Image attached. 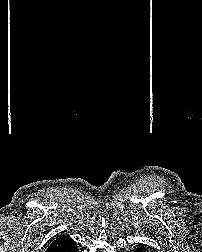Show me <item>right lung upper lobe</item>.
Segmentation results:
<instances>
[{
    "mask_svg": "<svg viewBox=\"0 0 202 252\" xmlns=\"http://www.w3.org/2000/svg\"><path fill=\"white\" fill-rule=\"evenodd\" d=\"M75 243L67 236H61L51 243L46 252H65Z\"/></svg>",
    "mask_w": 202,
    "mask_h": 252,
    "instance_id": "obj_1",
    "label": "right lung upper lobe"
}]
</instances>
